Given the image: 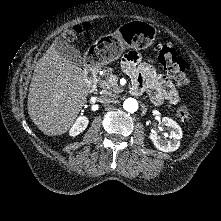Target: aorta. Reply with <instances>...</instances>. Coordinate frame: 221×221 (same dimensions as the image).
<instances>
[{
    "instance_id": "762f6f07",
    "label": "aorta",
    "mask_w": 221,
    "mask_h": 221,
    "mask_svg": "<svg viewBox=\"0 0 221 221\" xmlns=\"http://www.w3.org/2000/svg\"><path fill=\"white\" fill-rule=\"evenodd\" d=\"M123 108L127 112L134 113L138 110V102L134 98H127L123 102Z\"/></svg>"
}]
</instances>
